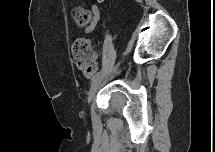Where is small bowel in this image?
I'll return each instance as SVG.
<instances>
[{"label": "small bowel", "instance_id": "obj_1", "mask_svg": "<svg viewBox=\"0 0 215 152\" xmlns=\"http://www.w3.org/2000/svg\"><path fill=\"white\" fill-rule=\"evenodd\" d=\"M99 15H100L99 8L96 5L92 6V18L90 23L85 28L86 33H91L95 30L97 23L99 21Z\"/></svg>", "mask_w": 215, "mask_h": 152}]
</instances>
